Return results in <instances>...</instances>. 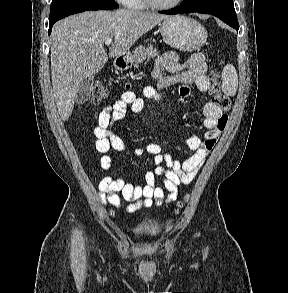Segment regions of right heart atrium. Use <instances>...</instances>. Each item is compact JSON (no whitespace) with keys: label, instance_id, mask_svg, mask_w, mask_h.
<instances>
[{"label":"right heart atrium","instance_id":"obj_1","mask_svg":"<svg viewBox=\"0 0 288 293\" xmlns=\"http://www.w3.org/2000/svg\"><path fill=\"white\" fill-rule=\"evenodd\" d=\"M117 2L121 3V4H124V5H127V3L130 1V0H116Z\"/></svg>","mask_w":288,"mask_h":293}]
</instances>
